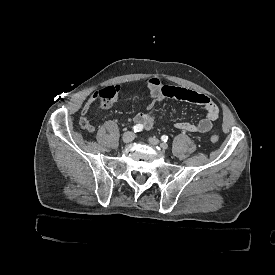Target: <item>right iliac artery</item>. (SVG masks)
<instances>
[{
    "instance_id": "82829eb1",
    "label": "right iliac artery",
    "mask_w": 275,
    "mask_h": 275,
    "mask_svg": "<svg viewBox=\"0 0 275 275\" xmlns=\"http://www.w3.org/2000/svg\"><path fill=\"white\" fill-rule=\"evenodd\" d=\"M143 129V125L137 124L133 127L134 132H140Z\"/></svg>"
}]
</instances>
